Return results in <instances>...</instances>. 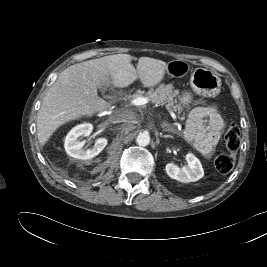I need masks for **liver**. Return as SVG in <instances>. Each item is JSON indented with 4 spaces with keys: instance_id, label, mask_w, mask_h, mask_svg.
Instances as JSON below:
<instances>
[{
    "instance_id": "liver-1",
    "label": "liver",
    "mask_w": 267,
    "mask_h": 267,
    "mask_svg": "<svg viewBox=\"0 0 267 267\" xmlns=\"http://www.w3.org/2000/svg\"><path fill=\"white\" fill-rule=\"evenodd\" d=\"M133 57L117 54L88 60L66 68L48 89L37 117V136L43 146L63 124L83 116L110 111L112 107L98 96L102 86L124 88L137 78L144 87H154L166 73L167 63L141 57L137 68Z\"/></svg>"
}]
</instances>
